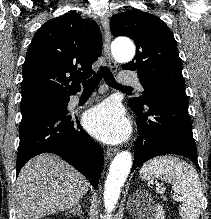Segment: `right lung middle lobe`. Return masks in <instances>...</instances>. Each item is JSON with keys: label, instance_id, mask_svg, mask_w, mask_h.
I'll return each mask as SVG.
<instances>
[{"label": "right lung middle lobe", "instance_id": "right-lung-middle-lobe-1", "mask_svg": "<svg viewBox=\"0 0 211 219\" xmlns=\"http://www.w3.org/2000/svg\"><path fill=\"white\" fill-rule=\"evenodd\" d=\"M68 99H62V100H45V101H38V102H32L27 104H22L20 106L21 112H22V118H25L27 116H30L34 113L50 109V108H56V107H64L67 104Z\"/></svg>", "mask_w": 211, "mask_h": 219}]
</instances>
